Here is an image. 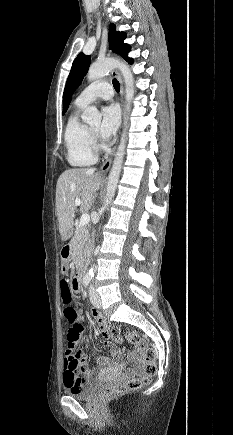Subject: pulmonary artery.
Returning a JSON list of instances; mask_svg holds the SVG:
<instances>
[{
  "mask_svg": "<svg viewBox=\"0 0 233 435\" xmlns=\"http://www.w3.org/2000/svg\"><path fill=\"white\" fill-rule=\"evenodd\" d=\"M113 96L112 87L105 81L95 82L86 87L76 98L75 103L79 106H86L96 99L109 100Z\"/></svg>",
  "mask_w": 233,
  "mask_h": 435,
  "instance_id": "e3ab8cb5",
  "label": "pulmonary artery"
}]
</instances>
